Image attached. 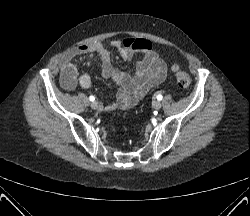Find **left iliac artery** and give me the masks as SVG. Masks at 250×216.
<instances>
[{
  "label": "left iliac artery",
  "instance_id": "left-iliac-artery-1",
  "mask_svg": "<svg viewBox=\"0 0 250 216\" xmlns=\"http://www.w3.org/2000/svg\"><path fill=\"white\" fill-rule=\"evenodd\" d=\"M157 99L162 100V95L161 94L157 95Z\"/></svg>",
  "mask_w": 250,
  "mask_h": 216
}]
</instances>
